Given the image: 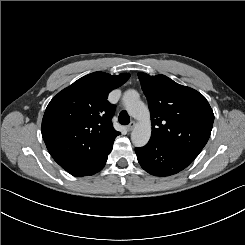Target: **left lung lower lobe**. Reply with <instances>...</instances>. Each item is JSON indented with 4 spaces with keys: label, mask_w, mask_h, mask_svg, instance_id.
<instances>
[{
    "label": "left lung lower lobe",
    "mask_w": 245,
    "mask_h": 245,
    "mask_svg": "<svg viewBox=\"0 0 245 245\" xmlns=\"http://www.w3.org/2000/svg\"><path fill=\"white\" fill-rule=\"evenodd\" d=\"M138 162L149 174L166 177L185 169L194 159L181 151L150 140L147 145L135 148Z\"/></svg>",
    "instance_id": "1"
}]
</instances>
